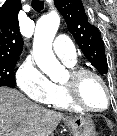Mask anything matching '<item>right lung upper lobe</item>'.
Returning a JSON list of instances; mask_svg holds the SVG:
<instances>
[{
  "label": "right lung upper lobe",
  "mask_w": 117,
  "mask_h": 136,
  "mask_svg": "<svg viewBox=\"0 0 117 136\" xmlns=\"http://www.w3.org/2000/svg\"><path fill=\"white\" fill-rule=\"evenodd\" d=\"M20 0H7L0 10V59L17 60L23 49L19 32Z\"/></svg>",
  "instance_id": "cb5924a9"
}]
</instances>
